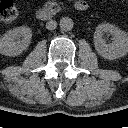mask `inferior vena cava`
Here are the masks:
<instances>
[{
  "label": "inferior vena cava",
  "instance_id": "602c4592",
  "mask_svg": "<svg viewBox=\"0 0 128 128\" xmlns=\"http://www.w3.org/2000/svg\"><path fill=\"white\" fill-rule=\"evenodd\" d=\"M57 27V22L54 20H50L46 23V29L54 30Z\"/></svg>",
  "mask_w": 128,
  "mask_h": 128
}]
</instances>
